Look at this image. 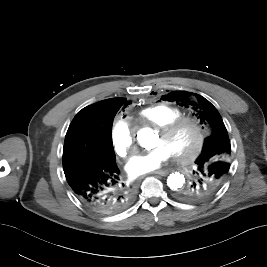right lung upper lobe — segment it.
<instances>
[{
  "label": "right lung upper lobe",
  "instance_id": "1",
  "mask_svg": "<svg viewBox=\"0 0 267 267\" xmlns=\"http://www.w3.org/2000/svg\"><path fill=\"white\" fill-rule=\"evenodd\" d=\"M125 102V98H111L89 105L74 117L71 125L84 126L104 137L111 130L110 125L104 120L107 110L113 106H122Z\"/></svg>",
  "mask_w": 267,
  "mask_h": 267
}]
</instances>
